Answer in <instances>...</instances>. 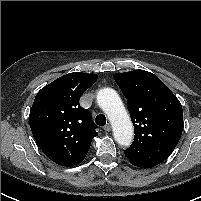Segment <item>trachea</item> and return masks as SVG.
Masks as SVG:
<instances>
[{
    "label": "trachea",
    "instance_id": "1",
    "mask_svg": "<svg viewBox=\"0 0 201 201\" xmlns=\"http://www.w3.org/2000/svg\"><path fill=\"white\" fill-rule=\"evenodd\" d=\"M95 122L99 126H104L106 124V117L103 114H99L95 118Z\"/></svg>",
    "mask_w": 201,
    "mask_h": 201
}]
</instances>
